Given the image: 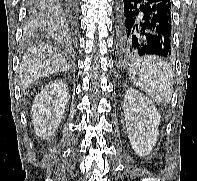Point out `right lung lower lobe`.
I'll return each mask as SVG.
<instances>
[{"mask_svg":"<svg viewBox=\"0 0 197 181\" xmlns=\"http://www.w3.org/2000/svg\"><path fill=\"white\" fill-rule=\"evenodd\" d=\"M79 0H32L30 22L71 36L77 26Z\"/></svg>","mask_w":197,"mask_h":181,"instance_id":"98d812e1","label":"right lung lower lobe"}]
</instances>
